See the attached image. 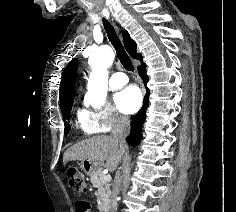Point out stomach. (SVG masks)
<instances>
[{"label": "stomach", "instance_id": "stomach-1", "mask_svg": "<svg viewBox=\"0 0 236 212\" xmlns=\"http://www.w3.org/2000/svg\"><path fill=\"white\" fill-rule=\"evenodd\" d=\"M81 168L84 170V172L87 175H92L94 174L97 169L99 168V166H97L94 162L89 161V160H84L81 162Z\"/></svg>", "mask_w": 236, "mask_h": 212}]
</instances>
